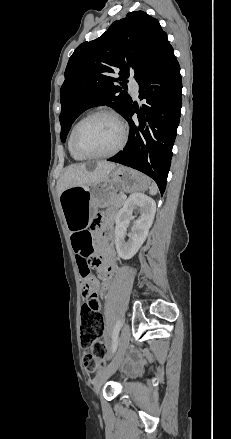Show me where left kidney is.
Wrapping results in <instances>:
<instances>
[{"mask_svg":"<svg viewBox=\"0 0 231 439\" xmlns=\"http://www.w3.org/2000/svg\"><path fill=\"white\" fill-rule=\"evenodd\" d=\"M139 209L140 216L128 234L129 240L125 241L127 226L133 210ZM156 212L155 201L142 193H134L126 200L123 208L116 215L115 244L118 255L125 260L131 259L140 249L149 229L152 226Z\"/></svg>","mask_w":231,"mask_h":439,"instance_id":"left-kidney-1","label":"left kidney"}]
</instances>
